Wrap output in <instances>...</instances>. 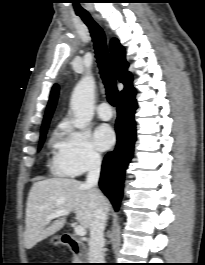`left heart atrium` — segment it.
<instances>
[{"mask_svg":"<svg viewBox=\"0 0 205 265\" xmlns=\"http://www.w3.org/2000/svg\"><path fill=\"white\" fill-rule=\"evenodd\" d=\"M94 140L100 150H107L114 144L115 134L110 126L100 125L95 130Z\"/></svg>","mask_w":205,"mask_h":265,"instance_id":"obj_1","label":"left heart atrium"}]
</instances>
